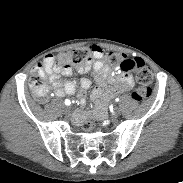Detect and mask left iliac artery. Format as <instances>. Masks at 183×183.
I'll return each instance as SVG.
<instances>
[{
  "label": "left iliac artery",
  "instance_id": "44dca946",
  "mask_svg": "<svg viewBox=\"0 0 183 183\" xmlns=\"http://www.w3.org/2000/svg\"><path fill=\"white\" fill-rule=\"evenodd\" d=\"M119 100H120L119 98H116V99H115L116 102H119Z\"/></svg>",
  "mask_w": 183,
  "mask_h": 183
}]
</instances>
